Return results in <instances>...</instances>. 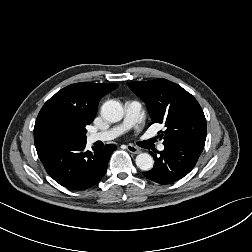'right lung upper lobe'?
<instances>
[{"label": "right lung upper lobe", "mask_w": 252, "mask_h": 252, "mask_svg": "<svg viewBox=\"0 0 252 252\" xmlns=\"http://www.w3.org/2000/svg\"><path fill=\"white\" fill-rule=\"evenodd\" d=\"M118 87L116 83H76L52 96L40 110L34 126L36 150L41 148L43 134L54 126L75 132H87L95 118L100 99Z\"/></svg>", "instance_id": "cb5924a9"}]
</instances>
